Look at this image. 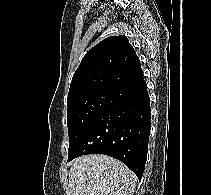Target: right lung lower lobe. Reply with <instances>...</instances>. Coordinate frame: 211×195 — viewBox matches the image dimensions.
Here are the masks:
<instances>
[{
    "label": "right lung lower lobe",
    "instance_id": "1",
    "mask_svg": "<svg viewBox=\"0 0 211 195\" xmlns=\"http://www.w3.org/2000/svg\"><path fill=\"white\" fill-rule=\"evenodd\" d=\"M150 100L144 78L115 88L68 161L105 154L122 161L139 178L145 168L150 135Z\"/></svg>",
    "mask_w": 211,
    "mask_h": 195
}]
</instances>
